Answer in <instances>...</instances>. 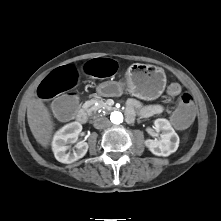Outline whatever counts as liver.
I'll return each mask as SVG.
<instances>
[{
  "mask_svg": "<svg viewBox=\"0 0 221 221\" xmlns=\"http://www.w3.org/2000/svg\"><path fill=\"white\" fill-rule=\"evenodd\" d=\"M27 119L36 141L47 148L50 145L54 122L48 108L41 99L32 98L27 105Z\"/></svg>",
  "mask_w": 221,
  "mask_h": 221,
  "instance_id": "liver-1",
  "label": "liver"
}]
</instances>
